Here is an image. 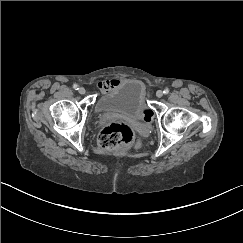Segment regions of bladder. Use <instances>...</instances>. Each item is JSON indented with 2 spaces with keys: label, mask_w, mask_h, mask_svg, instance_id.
Masks as SVG:
<instances>
[{
  "label": "bladder",
  "mask_w": 243,
  "mask_h": 243,
  "mask_svg": "<svg viewBox=\"0 0 243 243\" xmlns=\"http://www.w3.org/2000/svg\"><path fill=\"white\" fill-rule=\"evenodd\" d=\"M146 86L140 79H123L110 91L102 94L95 102L94 108L100 114H114L131 119H145Z\"/></svg>",
  "instance_id": "obj_1"
}]
</instances>
